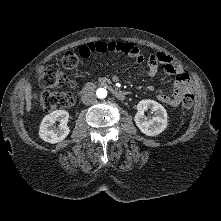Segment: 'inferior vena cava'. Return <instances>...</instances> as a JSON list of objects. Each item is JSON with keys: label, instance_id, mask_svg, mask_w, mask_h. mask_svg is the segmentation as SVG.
Listing matches in <instances>:
<instances>
[{"label": "inferior vena cava", "instance_id": "602c4592", "mask_svg": "<svg viewBox=\"0 0 221 221\" xmlns=\"http://www.w3.org/2000/svg\"><path fill=\"white\" fill-rule=\"evenodd\" d=\"M95 101H96V96L93 92H86L82 96V102L85 105H91V104L95 103Z\"/></svg>", "mask_w": 221, "mask_h": 221}]
</instances>
